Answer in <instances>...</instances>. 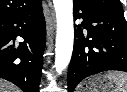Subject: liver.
Wrapping results in <instances>:
<instances>
[{"mask_svg":"<svg viewBox=\"0 0 127 92\" xmlns=\"http://www.w3.org/2000/svg\"><path fill=\"white\" fill-rule=\"evenodd\" d=\"M0 92H20L13 84L0 79Z\"/></svg>","mask_w":127,"mask_h":92,"instance_id":"1","label":"liver"}]
</instances>
